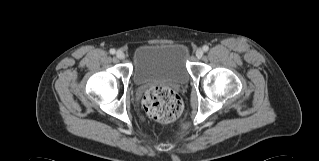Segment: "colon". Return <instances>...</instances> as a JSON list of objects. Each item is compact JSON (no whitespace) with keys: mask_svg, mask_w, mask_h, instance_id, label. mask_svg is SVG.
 <instances>
[{"mask_svg":"<svg viewBox=\"0 0 319 161\" xmlns=\"http://www.w3.org/2000/svg\"><path fill=\"white\" fill-rule=\"evenodd\" d=\"M142 105L147 115L159 122H172L183 111L181 98L170 88L153 86L144 95Z\"/></svg>","mask_w":319,"mask_h":161,"instance_id":"colon-1","label":"colon"}]
</instances>
